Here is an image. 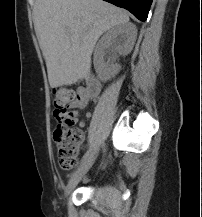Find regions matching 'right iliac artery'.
Masks as SVG:
<instances>
[{
	"label": "right iliac artery",
	"instance_id": "obj_1",
	"mask_svg": "<svg viewBox=\"0 0 202 217\" xmlns=\"http://www.w3.org/2000/svg\"><path fill=\"white\" fill-rule=\"evenodd\" d=\"M91 153H92V148H90V149L85 153V155L83 156V158H82V160H81L79 166H82V165L86 162V160H87L88 157L91 155Z\"/></svg>",
	"mask_w": 202,
	"mask_h": 217
}]
</instances>
